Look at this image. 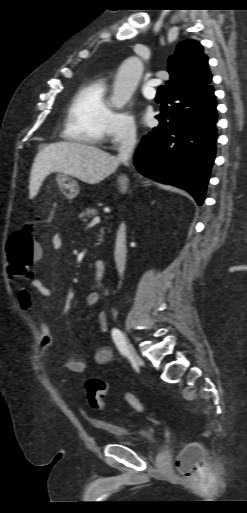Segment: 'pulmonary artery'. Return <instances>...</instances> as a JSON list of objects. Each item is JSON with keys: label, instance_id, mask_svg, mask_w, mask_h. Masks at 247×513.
Wrapping results in <instances>:
<instances>
[{"label": "pulmonary artery", "instance_id": "1", "mask_svg": "<svg viewBox=\"0 0 247 513\" xmlns=\"http://www.w3.org/2000/svg\"><path fill=\"white\" fill-rule=\"evenodd\" d=\"M159 84V80L151 79L143 87V95L148 99H153L156 96L155 86Z\"/></svg>", "mask_w": 247, "mask_h": 513}]
</instances>
